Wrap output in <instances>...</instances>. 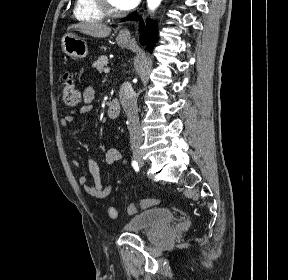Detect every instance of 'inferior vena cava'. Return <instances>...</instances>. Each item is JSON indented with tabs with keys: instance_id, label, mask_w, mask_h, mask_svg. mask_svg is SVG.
Wrapping results in <instances>:
<instances>
[{
	"instance_id": "inferior-vena-cava-1",
	"label": "inferior vena cava",
	"mask_w": 288,
	"mask_h": 280,
	"mask_svg": "<svg viewBox=\"0 0 288 280\" xmlns=\"http://www.w3.org/2000/svg\"><path fill=\"white\" fill-rule=\"evenodd\" d=\"M119 101H121L122 110H125L127 126H129V141H131V157L134 159H142L143 151L139 150L144 143L142 134V125L138 116L139 106L135 105L137 101V92L130 89L128 81H121L119 89Z\"/></svg>"
}]
</instances>
